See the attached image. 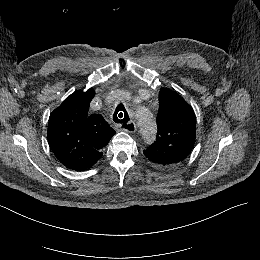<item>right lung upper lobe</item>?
<instances>
[{"instance_id":"1","label":"right lung upper lobe","mask_w":260,"mask_h":260,"mask_svg":"<svg viewBox=\"0 0 260 260\" xmlns=\"http://www.w3.org/2000/svg\"><path fill=\"white\" fill-rule=\"evenodd\" d=\"M94 95L93 89L74 92L49 118V146L57 159L73 170L93 166L115 134L100 114L88 113Z\"/></svg>"}]
</instances>
